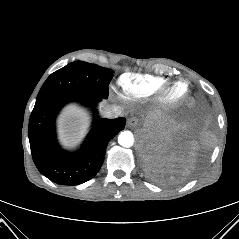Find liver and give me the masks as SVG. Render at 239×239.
<instances>
[{
    "mask_svg": "<svg viewBox=\"0 0 239 239\" xmlns=\"http://www.w3.org/2000/svg\"><path fill=\"white\" fill-rule=\"evenodd\" d=\"M107 105L103 101L101 107ZM89 116L86 110L76 104H69L63 108L57 119L58 133L61 143L65 147H73L83 138L88 126Z\"/></svg>",
    "mask_w": 239,
    "mask_h": 239,
    "instance_id": "1",
    "label": "liver"
}]
</instances>
